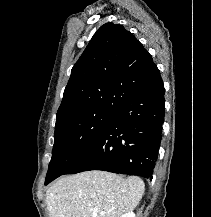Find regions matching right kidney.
Wrapping results in <instances>:
<instances>
[{
    "instance_id": "1",
    "label": "right kidney",
    "mask_w": 211,
    "mask_h": 217,
    "mask_svg": "<svg viewBox=\"0 0 211 217\" xmlns=\"http://www.w3.org/2000/svg\"><path fill=\"white\" fill-rule=\"evenodd\" d=\"M121 217H136V216L133 212H128V213L123 214Z\"/></svg>"
}]
</instances>
